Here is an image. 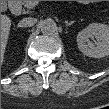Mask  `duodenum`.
Masks as SVG:
<instances>
[{"instance_id": "duodenum-1", "label": "duodenum", "mask_w": 109, "mask_h": 109, "mask_svg": "<svg viewBox=\"0 0 109 109\" xmlns=\"http://www.w3.org/2000/svg\"><path fill=\"white\" fill-rule=\"evenodd\" d=\"M10 7L13 10H17L18 9V5L17 4H11Z\"/></svg>"}]
</instances>
